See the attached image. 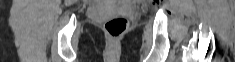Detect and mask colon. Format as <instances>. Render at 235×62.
Masks as SVG:
<instances>
[{
    "label": "colon",
    "mask_w": 235,
    "mask_h": 62,
    "mask_svg": "<svg viewBox=\"0 0 235 62\" xmlns=\"http://www.w3.org/2000/svg\"><path fill=\"white\" fill-rule=\"evenodd\" d=\"M127 27L128 21L124 17H113L104 23L105 32L113 40L120 38L126 32Z\"/></svg>",
    "instance_id": "colon-1"
}]
</instances>
